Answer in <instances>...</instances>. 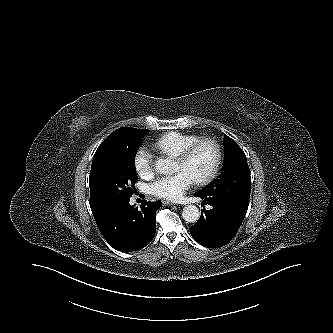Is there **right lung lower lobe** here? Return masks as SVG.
Instances as JSON below:
<instances>
[{
	"mask_svg": "<svg viewBox=\"0 0 333 333\" xmlns=\"http://www.w3.org/2000/svg\"><path fill=\"white\" fill-rule=\"evenodd\" d=\"M130 198L114 201L93 213L95 221L108 244L119 251L131 252L145 247L156 229V211L160 201H143L137 209Z\"/></svg>",
	"mask_w": 333,
	"mask_h": 333,
	"instance_id": "obj_1",
	"label": "right lung lower lobe"
}]
</instances>
